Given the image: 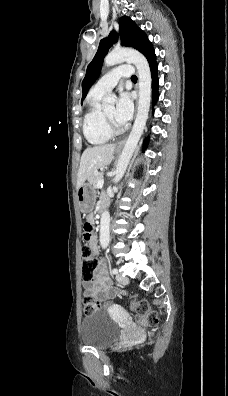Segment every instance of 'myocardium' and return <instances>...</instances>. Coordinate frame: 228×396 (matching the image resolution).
I'll return each mask as SVG.
<instances>
[{
	"label": "myocardium",
	"mask_w": 228,
	"mask_h": 396,
	"mask_svg": "<svg viewBox=\"0 0 228 396\" xmlns=\"http://www.w3.org/2000/svg\"><path fill=\"white\" fill-rule=\"evenodd\" d=\"M103 114V121H104V125L105 128L107 130V132L111 135V136H116V135H120L123 133L124 129L118 125H115L105 114V112H102Z\"/></svg>",
	"instance_id": "myocardium-1"
}]
</instances>
